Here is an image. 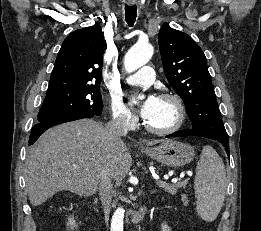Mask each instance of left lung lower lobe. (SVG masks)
<instances>
[{"label": "left lung lower lobe", "instance_id": "left-lung-lower-lobe-1", "mask_svg": "<svg viewBox=\"0 0 261 231\" xmlns=\"http://www.w3.org/2000/svg\"><path fill=\"white\" fill-rule=\"evenodd\" d=\"M186 136H200V137L209 138L206 135H204L203 133H201L200 131L195 130V129L179 130V131H177L175 133L167 135L166 137H186ZM210 139H213V140H216V141L220 142L225 147V150H226V152H227V154L229 156V141H228V139L214 138V137L210 138Z\"/></svg>", "mask_w": 261, "mask_h": 231}]
</instances>
